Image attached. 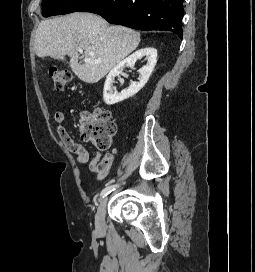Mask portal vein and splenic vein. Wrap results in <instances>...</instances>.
Listing matches in <instances>:
<instances>
[{"mask_svg":"<svg viewBox=\"0 0 255 272\" xmlns=\"http://www.w3.org/2000/svg\"><path fill=\"white\" fill-rule=\"evenodd\" d=\"M79 52H80V53H83V50H82V49H79ZM85 61H86V62H89L90 60L85 59Z\"/></svg>","mask_w":255,"mask_h":272,"instance_id":"1","label":"portal vein and splenic vein"}]
</instances>
